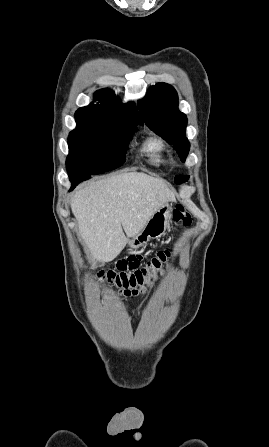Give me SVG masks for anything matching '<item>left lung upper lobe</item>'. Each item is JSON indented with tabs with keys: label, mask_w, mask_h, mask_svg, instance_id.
<instances>
[{
	"label": "left lung upper lobe",
	"mask_w": 269,
	"mask_h": 447,
	"mask_svg": "<svg viewBox=\"0 0 269 447\" xmlns=\"http://www.w3.org/2000/svg\"><path fill=\"white\" fill-rule=\"evenodd\" d=\"M146 125L156 134L173 144L184 162L190 148L185 136L186 115L178 110V95L175 89L166 83H158L149 88L145 99L138 103ZM188 180L180 177L177 183Z\"/></svg>",
	"instance_id": "5c2ea615"
}]
</instances>
